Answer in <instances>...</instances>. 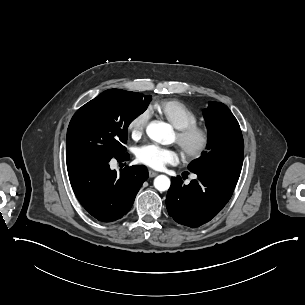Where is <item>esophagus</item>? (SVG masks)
I'll use <instances>...</instances> for the list:
<instances>
[{"label": "esophagus", "mask_w": 305, "mask_h": 305, "mask_svg": "<svg viewBox=\"0 0 305 305\" xmlns=\"http://www.w3.org/2000/svg\"><path fill=\"white\" fill-rule=\"evenodd\" d=\"M158 175V173H156V172H154V171H152V170H149V177L150 178H153V177H155V176H157Z\"/></svg>", "instance_id": "1"}]
</instances>
